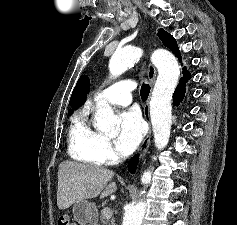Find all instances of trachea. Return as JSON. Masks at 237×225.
<instances>
[{
	"label": "trachea",
	"instance_id": "3493384b",
	"mask_svg": "<svg viewBox=\"0 0 237 225\" xmlns=\"http://www.w3.org/2000/svg\"><path fill=\"white\" fill-rule=\"evenodd\" d=\"M149 92H150L149 85L148 84H143L141 86V90H140L141 98H142L143 101H145L148 98Z\"/></svg>",
	"mask_w": 237,
	"mask_h": 225
}]
</instances>
